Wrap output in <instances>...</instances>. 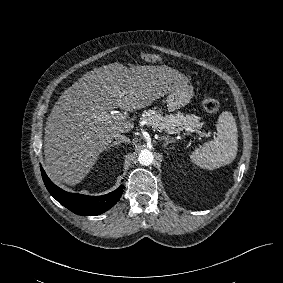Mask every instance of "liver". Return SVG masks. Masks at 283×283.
Instances as JSON below:
<instances>
[{"label": "liver", "mask_w": 283, "mask_h": 283, "mask_svg": "<svg viewBox=\"0 0 283 283\" xmlns=\"http://www.w3.org/2000/svg\"><path fill=\"white\" fill-rule=\"evenodd\" d=\"M184 77L162 66L108 64L85 73L63 92L45 127L46 171L56 182L80 183L114 135L134 128L135 117L99 120L115 108L136 111L169 93Z\"/></svg>", "instance_id": "6515ba94"}]
</instances>
